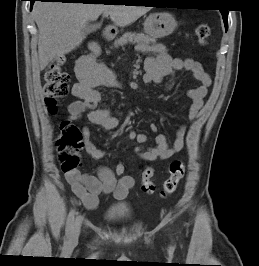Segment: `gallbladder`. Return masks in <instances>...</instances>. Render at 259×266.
Masks as SVG:
<instances>
[{
  "instance_id": "bac80fb5",
  "label": "gallbladder",
  "mask_w": 259,
  "mask_h": 266,
  "mask_svg": "<svg viewBox=\"0 0 259 266\" xmlns=\"http://www.w3.org/2000/svg\"><path fill=\"white\" fill-rule=\"evenodd\" d=\"M96 28H97V26H95V25H93V24H89V25H87L86 28L83 29V32H84L85 34H89V33L93 32V31H95Z\"/></svg>"
}]
</instances>
